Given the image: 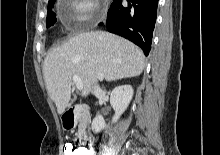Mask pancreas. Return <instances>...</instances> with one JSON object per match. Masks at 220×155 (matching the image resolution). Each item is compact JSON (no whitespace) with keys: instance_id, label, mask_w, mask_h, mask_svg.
<instances>
[{"instance_id":"obj_1","label":"pancreas","mask_w":220,"mask_h":155,"mask_svg":"<svg viewBox=\"0 0 220 155\" xmlns=\"http://www.w3.org/2000/svg\"><path fill=\"white\" fill-rule=\"evenodd\" d=\"M79 122H80L79 128H82L85 125V119L83 116L79 117Z\"/></svg>"}]
</instances>
